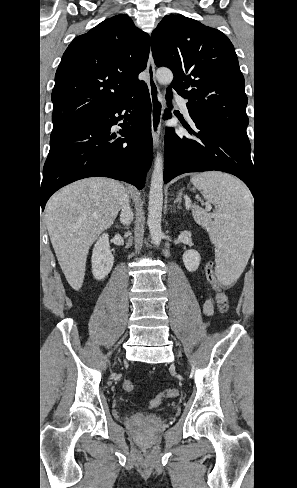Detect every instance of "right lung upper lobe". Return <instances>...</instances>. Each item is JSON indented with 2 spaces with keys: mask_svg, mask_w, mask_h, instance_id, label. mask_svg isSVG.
<instances>
[{
  "mask_svg": "<svg viewBox=\"0 0 297 488\" xmlns=\"http://www.w3.org/2000/svg\"><path fill=\"white\" fill-rule=\"evenodd\" d=\"M150 37L127 15L76 37L63 54L52 91L53 131L61 132L115 106L144 81Z\"/></svg>",
  "mask_w": 297,
  "mask_h": 488,
  "instance_id": "1",
  "label": "right lung upper lobe"
}]
</instances>
